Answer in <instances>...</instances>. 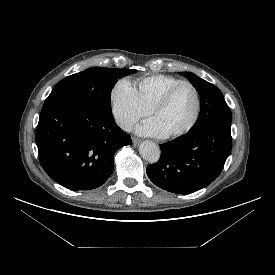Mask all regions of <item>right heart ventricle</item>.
<instances>
[{
  "mask_svg": "<svg viewBox=\"0 0 275 275\" xmlns=\"http://www.w3.org/2000/svg\"><path fill=\"white\" fill-rule=\"evenodd\" d=\"M181 81V79L169 75H150L137 82L136 90L141 102L150 111L168 89Z\"/></svg>",
  "mask_w": 275,
  "mask_h": 275,
  "instance_id": "e07e8e85",
  "label": "right heart ventricle"
}]
</instances>
